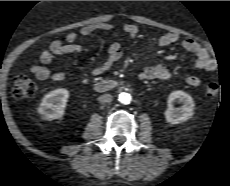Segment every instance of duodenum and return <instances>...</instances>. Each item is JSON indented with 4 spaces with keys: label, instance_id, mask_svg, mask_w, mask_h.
<instances>
[{
    "label": "duodenum",
    "instance_id": "1",
    "mask_svg": "<svg viewBox=\"0 0 230 186\" xmlns=\"http://www.w3.org/2000/svg\"><path fill=\"white\" fill-rule=\"evenodd\" d=\"M121 83L114 80H101L94 84V88L100 92H106L120 86Z\"/></svg>",
    "mask_w": 230,
    "mask_h": 186
}]
</instances>
